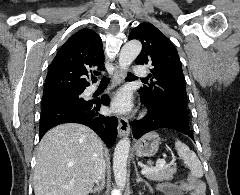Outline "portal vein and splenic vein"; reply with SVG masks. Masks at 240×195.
I'll list each match as a JSON object with an SVG mask.
<instances>
[{
  "label": "portal vein and splenic vein",
  "mask_w": 240,
  "mask_h": 195,
  "mask_svg": "<svg viewBox=\"0 0 240 195\" xmlns=\"http://www.w3.org/2000/svg\"><path fill=\"white\" fill-rule=\"evenodd\" d=\"M166 165V159H158L156 161L155 167H144V169H141V173H150V171H158V169H162Z\"/></svg>",
  "instance_id": "1"
}]
</instances>
